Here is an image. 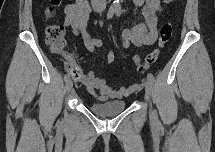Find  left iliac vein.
I'll list each match as a JSON object with an SVG mask.
<instances>
[{
    "label": "left iliac vein",
    "mask_w": 215,
    "mask_h": 152,
    "mask_svg": "<svg viewBox=\"0 0 215 152\" xmlns=\"http://www.w3.org/2000/svg\"><path fill=\"white\" fill-rule=\"evenodd\" d=\"M145 88H146V98L150 99L151 94H152V90H153V84H152V82L150 80L146 81ZM150 114H151L152 118H155V116H156L155 111L151 110Z\"/></svg>",
    "instance_id": "1"
}]
</instances>
